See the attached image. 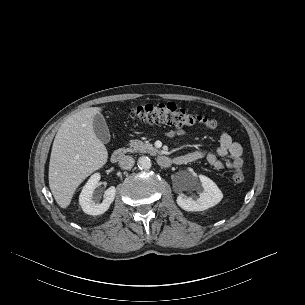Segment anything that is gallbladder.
Returning a JSON list of instances; mask_svg holds the SVG:
<instances>
[{
    "mask_svg": "<svg viewBox=\"0 0 305 305\" xmlns=\"http://www.w3.org/2000/svg\"><path fill=\"white\" fill-rule=\"evenodd\" d=\"M94 132L97 138L104 144L109 143L111 135L104 117L97 114L93 121Z\"/></svg>",
    "mask_w": 305,
    "mask_h": 305,
    "instance_id": "1",
    "label": "gallbladder"
}]
</instances>
